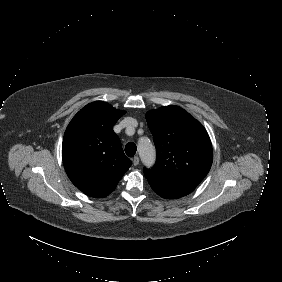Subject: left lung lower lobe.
<instances>
[{"instance_id":"obj_1","label":"left lung lower lobe","mask_w":282,"mask_h":282,"mask_svg":"<svg viewBox=\"0 0 282 282\" xmlns=\"http://www.w3.org/2000/svg\"><path fill=\"white\" fill-rule=\"evenodd\" d=\"M152 189L161 197L166 199H176L188 195L195 187L182 184H166L157 181L153 176L145 174Z\"/></svg>"}]
</instances>
